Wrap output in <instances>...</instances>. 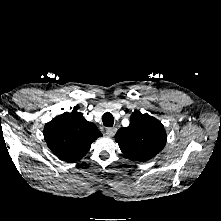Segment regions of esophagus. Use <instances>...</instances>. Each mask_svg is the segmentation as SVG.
Segmentation results:
<instances>
[{
  "instance_id": "1",
  "label": "esophagus",
  "mask_w": 221,
  "mask_h": 221,
  "mask_svg": "<svg viewBox=\"0 0 221 221\" xmlns=\"http://www.w3.org/2000/svg\"><path fill=\"white\" fill-rule=\"evenodd\" d=\"M117 129L115 127H109L106 129V134L109 137H113L116 134Z\"/></svg>"
}]
</instances>
